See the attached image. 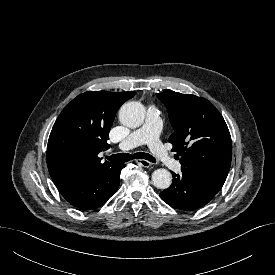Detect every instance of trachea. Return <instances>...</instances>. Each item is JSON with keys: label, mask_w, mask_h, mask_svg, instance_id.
<instances>
[{"label": "trachea", "mask_w": 275, "mask_h": 275, "mask_svg": "<svg viewBox=\"0 0 275 275\" xmlns=\"http://www.w3.org/2000/svg\"><path fill=\"white\" fill-rule=\"evenodd\" d=\"M112 164L124 163L132 159H145L150 162H156L155 158L148 153H135L134 155L128 153H119L106 157Z\"/></svg>", "instance_id": "obj_1"}]
</instances>
